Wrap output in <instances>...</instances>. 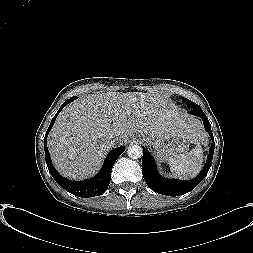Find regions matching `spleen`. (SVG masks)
<instances>
[{
    "instance_id": "spleen-1",
    "label": "spleen",
    "mask_w": 253,
    "mask_h": 253,
    "mask_svg": "<svg viewBox=\"0 0 253 253\" xmlns=\"http://www.w3.org/2000/svg\"><path fill=\"white\" fill-rule=\"evenodd\" d=\"M170 171L178 178L195 177L202 169L203 150L198 144L192 151L171 156L168 159Z\"/></svg>"
}]
</instances>
